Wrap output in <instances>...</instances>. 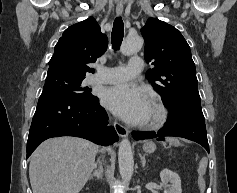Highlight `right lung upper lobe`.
<instances>
[{
  "label": "right lung upper lobe",
  "instance_id": "1",
  "mask_svg": "<svg viewBox=\"0 0 237 193\" xmlns=\"http://www.w3.org/2000/svg\"><path fill=\"white\" fill-rule=\"evenodd\" d=\"M108 39L93 17L68 27L54 48L48 71H60L75 77L93 72L94 63L107 49Z\"/></svg>",
  "mask_w": 237,
  "mask_h": 193
}]
</instances>
